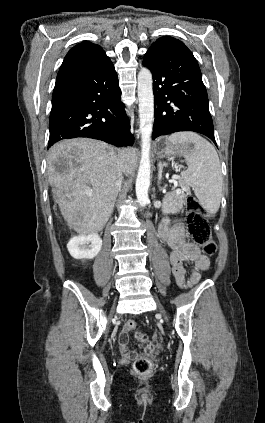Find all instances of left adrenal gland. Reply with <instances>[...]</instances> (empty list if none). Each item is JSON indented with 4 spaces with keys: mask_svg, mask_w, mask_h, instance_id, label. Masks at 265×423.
I'll list each match as a JSON object with an SVG mask.
<instances>
[{
    "mask_svg": "<svg viewBox=\"0 0 265 423\" xmlns=\"http://www.w3.org/2000/svg\"><path fill=\"white\" fill-rule=\"evenodd\" d=\"M164 166H166L164 162H159V180L161 179V174Z\"/></svg>",
    "mask_w": 265,
    "mask_h": 423,
    "instance_id": "a2214340",
    "label": "left adrenal gland"
}]
</instances>
